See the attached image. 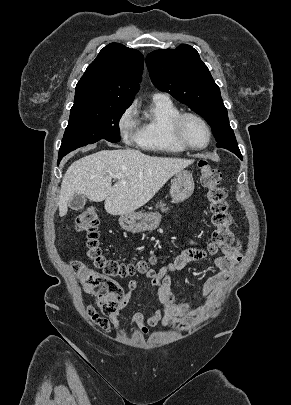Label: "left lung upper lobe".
<instances>
[{"label":"left lung upper lobe","mask_w":291,"mask_h":405,"mask_svg":"<svg viewBox=\"0 0 291 405\" xmlns=\"http://www.w3.org/2000/svg\"><path fill=\"white\" fill-rule=\"evenodd\" d=\"M146 64L155 87L205 118L217 147L240 152L220 89L193 47L181 44L176 49L154 51L146 57Z\"/></svg>","instance_id":"left-lung-upper-lobe-1"}]
</instances>
